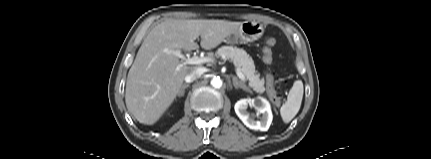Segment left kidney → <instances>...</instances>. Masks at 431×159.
<instances>
[{"label": "left kidney", "instance_id": "1", "mask_svg": "<svg viewBox=\"0 0 431 159\" xmlns=\"http://www.w3.org/2000/svg\"><path fill=\"white\" fill-rule=\"evenodd\" d=\"M248 105L254 107L258 114H262L260 120L256 121L254 117L248 113ZM234 109L237 116L248 128L260 131H267L269 129L273 115L270 103L265 98L241 99L236 102Z\"/></svg>", "mask_w": 431, "mask_h": 159}]
</instances>
